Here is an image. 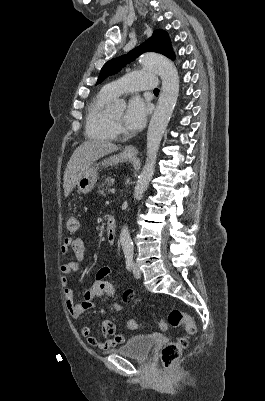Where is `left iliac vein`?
I'll list each match as a JSON object with an SVG mask.
<instances>
[{
	"label": "left iliac vein",
	"mask_w": 265,
	"mask_h": 401,
	"mask_svg": "<svg viewBox=\"0 0 265 401\" xmlns=\"http://www.w3.org/2000/svg\"><path fill=\"white\" fill-rule=\"evenodd\" d=\"M132 267H133V275H134V277L136 278V279H139L140 277H141V272H140V270L138 269V267H137V265L133 262V264H132Z\"/></svg>",
	"instance_id": "obj_1"
}]
</instances>
